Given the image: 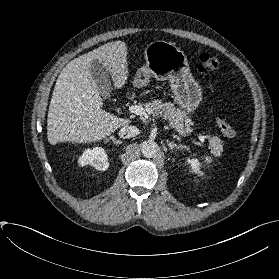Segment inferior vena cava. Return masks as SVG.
Listing matches in <instances>:
<instances>
[{
    "label": "inferior vena cava",
    "mask_w": 279,
    "mask_h": 279,
    "mask_svg": "<svg viewBox=\"0 0 279 279\" xmlns=\"http://www.w3.org/2000/svg\"><path fill=\"white\" fill-rule=\"evenodd\" d=\"M138 133V129L135 126L126 125L119 131V136L124 139H129L136 136Z\"/></svg>",
    "instance_id": "1"
}]
</instances>
